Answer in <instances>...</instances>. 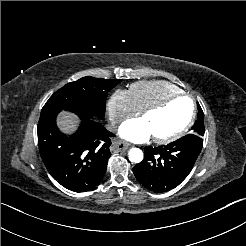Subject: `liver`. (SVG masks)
Returning a JSON list of instances; mask_svg holds the SVG:
<instances>
[{"mask_svg":"<svg viewBox=\"0 0 246 246\" xmlns=\"http://www.w3.org/2000/svg\"><path fill=\"white\" fill-rule=\"evenodd\" d=\"M58 125L64 132L71 133L77 127L76 117L69 112H61L58 115Z\"/></svg>","mask_w":246,"mask_h":246,"instance_id":"1","label":"liver"}]
</instances>
